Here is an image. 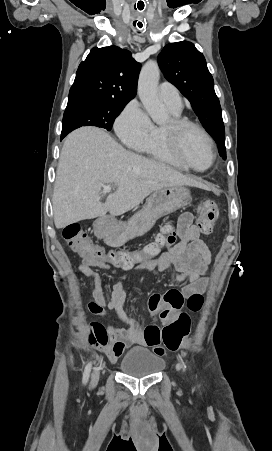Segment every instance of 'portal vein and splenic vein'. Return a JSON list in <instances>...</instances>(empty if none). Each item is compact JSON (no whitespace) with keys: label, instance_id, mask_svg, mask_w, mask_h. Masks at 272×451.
Masks as SVG:
<instances>
[{"label":"portal vein and splenic vein","instance_id":"18ae733b","mask_svg":"<svg viewBox=\"0 0 272 451\" xmlns=\"http://www.w3.org/2000/svg\"><path fill=\"white\" fill-rule=\"evenodd\" d=\"M104 190H103V194H106V192H111L112 188H110V186H103Z\"/></svg>","mask_w":272,"mask_h":451}]
</instances>
